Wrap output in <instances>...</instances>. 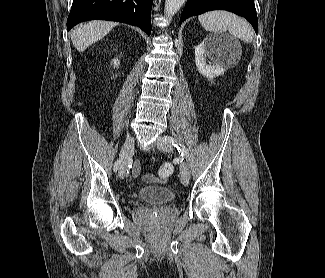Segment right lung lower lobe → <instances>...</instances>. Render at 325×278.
<instances>
[{
	"instance_id": "98d812e1",
	"label": "right lung lower lobe",
	"mask_w": 325,
	"mask_h": 278,
	"mask_svg": "<svg viewBox=\"0 0 325 278\" xmlns=\"http://www.w3.org/2000/svg\"><path fill=\"white\" fill-rule=\"evenodd\" d=\"M153 0H73L67 30L88 20L101 19L127 23L151 33Z\"/></svg>"
}]
</instances>
